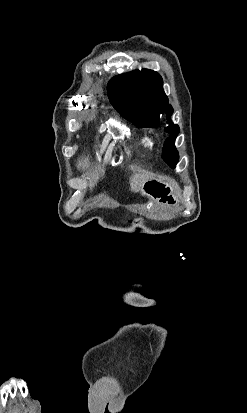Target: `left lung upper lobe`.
<instances>
[{
    "label": "left lung upper lobe",
    "mask_w": 247,
    "mask_h": 413,
    "mask_svg": "<svg viewBox=\"0 0 247 413\" xmlns=\"http://www.w3.org/2000/svg\"><path fill=\"white\" fill-rule=\"evenodd\" d=\"M108 95L111 104L121 115L138 127L155 128L159 125L160 117L167 115L169 125L164 130L170 136L164 144L162 158L175 167L179 156L174 142L180 130L170 120L173 108L164 93L161 76L149 69L115 76L108 84Z\"/></svg>",
    "instance_id": "5c2ea615"
}]
</instances>
